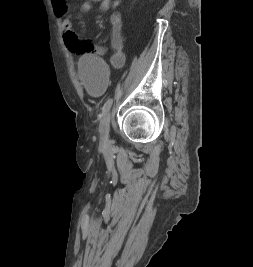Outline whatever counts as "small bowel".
<instances>
[{
	"instance_id": "1",
	"label": "small bowel",
	"mask_w": 253,
	"mask_h": 267,
	"mask_svg": "<svg viewBox=\"0 0 253 267\" xmlns=\"http://www.w3.org/2000/svg\"><path fill=\"white\" fill-rule=\"evenodd\" d=\"M55 13L62 18V40L65 47L76 54L96 53L106 54L108 48L105 46L94 45L89 42H82L72 29L73 13L69 7V0H51ZM98 6L95 7V4ZM120 0H84L81 3V11L83 13H91L93 11L106 12L111 8L117 7ZM110 24V43L109 47L113 51L110 56L111 64L120 68L125 63V55L123 53V25L122 16L119 12H113L109 18Z\"/></svg>"
}]
</instances>
